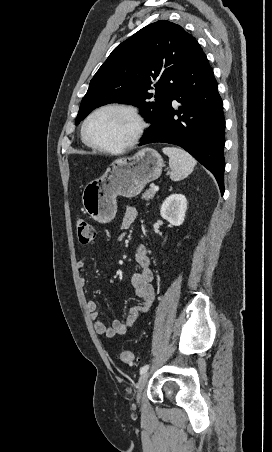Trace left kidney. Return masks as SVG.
<instances>
[{
  "instance_id": "1",
  "label": "left kidney",
  "mask_w": 272,
  "mask_h": 452,
  "mask_svg": "<svg viewBox=\"0 0 272 452\" xmlns=\"http://www.w3.org/2000/svg\"><path fill=\"white\" fill-rule=\"evenodd\" d=\"M187 210V200L183 194H171L163 202L160 214L173 226H180L184 222Z\"/></svg>"
}]
</instances>
